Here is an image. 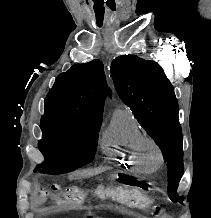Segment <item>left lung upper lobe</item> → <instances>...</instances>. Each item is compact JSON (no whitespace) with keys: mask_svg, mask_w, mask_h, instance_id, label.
<instances>
[{"mask_svg":"<svg viewBox=\"0 0 211 218\" xmlns=\"http://www.w3.org/2000/svg\"><path fill=\"white\" fill-rule=\"evenodd\" d=\"M111 74L120 98L163 153L169 198L181 202L176 190L183 174V141L173 86L156 62L135 55L115 58Z\"/></svg>","mask_w":211,"mask_h":218,"instance_id":"5c2ea615","label":"left lung upper lobe"}]
</instances>
